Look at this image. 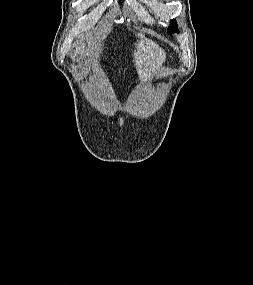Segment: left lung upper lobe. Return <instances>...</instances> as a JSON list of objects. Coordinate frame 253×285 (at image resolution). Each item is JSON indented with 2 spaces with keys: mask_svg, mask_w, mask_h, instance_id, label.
Listing matches in <instances>:
<instances>
[{
  "mask_svg": "<svg viewBox=\"0 0 253 285\" xmlns=\"http://www.w3.org/2000/svg\"><path fill=\"white\" fill-rule=\"evenodd\" d=\"M170 28H169V31L172 33V32H179L178 28H177V23H176V20H172L171 21V24H170Z\"/></svg>",
  "mask_w": 253,
  "mask_h": 285,
  "instance_id": "left-lung-upper-lobe-1",
  "label": "left lung upper lobe"
}]
</instances>
